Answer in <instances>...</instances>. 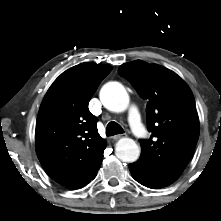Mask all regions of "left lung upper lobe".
<instances>
[{"instance_id":"1","label":"left lung upper lobe","mask_w":221,"mask_h":221,"mask_svg":"<svg viewBox=\"0 0 221 221\" xmlns=\"http://www.w3.org/2000/svg\"><path fill=\"white\" fill-rule=\"evenodd\" d=\"M118 72L147 100L146 120L152 133L140 140L136 164L149 188L176 181L187 166L199 137V118L188 85L173 71L141 60L123 64Z\"/></svg>"}]
</instances>
